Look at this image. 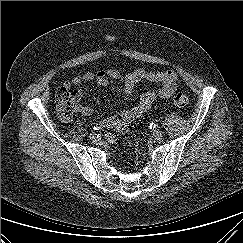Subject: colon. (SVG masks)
<instances>
[{
	"label": "colon",
	"instance_id": "5ec220e1",
	"mask_svg": "<svg viewBox=\"0 0 243 243\" xmlns=\"http://www.w3.org/2000/svg\"><path fill=\"white\" fill-rule=\"evenodd\" d=\"M56 109L60 118L64 121L71 120L77 110V100L74 93L68 88L61 87L55 95ZM173 104L179 108H187L190 104L189 97L183 93H177L173 97Z\"/></svg>",
	"mask_w": 243,
	"mask_h": 243
}]
</instances>
